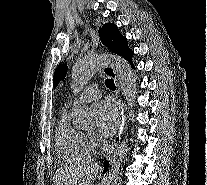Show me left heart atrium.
<instances>
[{
	"mask_svg": "<svg viewBox=\"0 0 207 185\" xmlns=\"http://www.w3.org/2000/svg\"><path fill=\"white\" fill-rule=\"evenodd\" d=\"M95 114L99 133L105 137L112 136L120 120L119 109L116 104L105 99L96 106Z\"/></svg>",
	"mask_w": 207,
	"mask_h": 185,
	"instance_id": "39dd6f15",
	"label": "left heart atrium"
}]
</instances>
